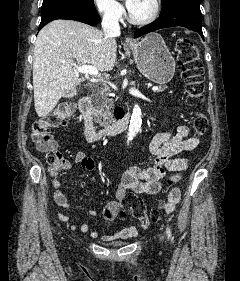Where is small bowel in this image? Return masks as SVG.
I'll return each instance as SVG.
<instances>
[{"label": "small bowel", "instance_id": "small-bowel-1", "mask_svg": "<svg viewBox=\"0 0 240 281\" xmlns=\"http://www.w3.org/2000/svg\"><path fill=\"white\" fill-rule=\"evenodd\" d=\"M190 129L186 125L179 126L175 133L163 131L157 133L149 144V150L153 155V164L147 168H141L137 165L129 166L122 174L121 181L118 185L114 199L109 201L103 208V218L113 223L119 214L121 203L127 192L136 194L156 195L161 191L162 179L167 172L172 173L174 180L180 179V171L187 168L188 160L179 158L177 155L184 151H190L196 148L200 140L196 137H189ZM74 163L87 171H94L96 163L94 159L84 152H78L74 157ZM59 168L63 172H68L72 168V163L63 158ZM54 189V201L57 205L70 209L71 204L68 202L65 194L61 190L62 182L58 176H54L51 181ZM181 192L178 187H174L168 194V200L165 205V214L172 213L180 201ZM90 215H95L94 211H89ZM58 217L62 221H68V217L59 213ZM71 230H79L83 233L89 231L86 223L80 225H71ZM91 237H98L97 232H91ZM137 235L135 227H126L114 234V238H130ZM108 240L110 236H103Z\"/></svg>", "mask_w": 240, "mask_h": 281}]
</instances>
